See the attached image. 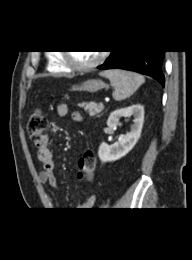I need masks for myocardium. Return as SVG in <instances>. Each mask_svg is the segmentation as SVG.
Instances as JSON below:
<instances>
[{
	"label": "myocardium",
	"instance_id": "obj_1",
	"mask_svg": "<svg viewBox=\"0 0 192 260\" xmlns=\"http://www.w3.org/2000/svg\"><path fill=\"white\" fill-rule=\"evenodd\" d=\"M61 58H62L63 63L69 69L77 71V72H86V71H90V70L96 68L97 66H99L104 61L105 55L100 54L96 60H94L93 62L86 64V65H79V64H76L75 62H73L70 53L67 51L62 52Z\"/></svg>",
	"mask_w": 192,
	"mask_h": 260
}]
</instances>
